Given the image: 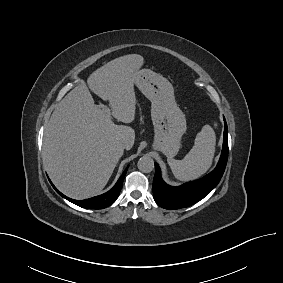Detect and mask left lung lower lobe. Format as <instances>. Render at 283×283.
Returning <instances> with one entry per match:
<instances>
[{
    "label": "left lung lower lobe",
    "mask_w": 283,
    "mask_h": 283,
    "mask_svg": "<svg viewBox=\"0 0 283 283\" xmlns=\"http://www.w3.org/2000/svg\"><path fill=\"white\" fill-rule=\"evenodd\" d=\"M228 159V128L224 118V139L221 157L216 168L205 177L178 187L167 185L161 178L160 168L155 163L153 197L156 203L169 210L191 206L206 197L219 183Z\"/></svg>",
    "instance_id": "obj_1"
}]
</instances>
